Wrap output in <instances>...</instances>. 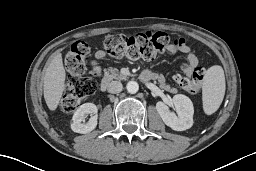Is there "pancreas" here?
I'll return each mask as SVG.
<instances>
[{"mask_svg": "<svg viewBox=\"0 0 256 171\" xmlns=\"http://www.w3.org/2000/svg\"><path fill=\"white\" fill-rule=\"evenodd\" d=\"M124 78L125 77L123 75L117 73V69H115V68H109L107 70L106 69L104 70V80L105 81H110L112 79L122 80Z\"/></svg>", "mask_w": 256, "mask_h": 171, "instance_id": "1", "label": "pancreas"}]
</instances>
